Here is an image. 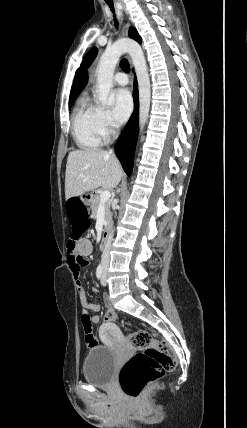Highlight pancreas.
I'll return each instance as SVG.
<instances>
[{
	"label": "pancreas",
	"instance_id": "pancreas-1",
	"mask_svg": "<svg viewBox=\"0 0 247 428\" xmlns=\"http://www.w3.org/2000/svg\"><path fill=\"white\" fill-rule=\"evenodd\" d=\"M101 204L100 201V193L96 192L94 199L92 201L91 204V209H92V213L95 216L98 210L99 205ZM104 207H105V219L108 221L111 217V211H110V203L109 202H105L104 203Z\"/></svg>",
	"mask_w": 247,
	"mask_h": 428
}]
</instances>
